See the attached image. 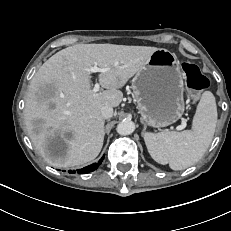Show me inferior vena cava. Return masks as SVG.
<instances>
[{"instance_id":"obj_1","label":"inferior vena cava","mask_w":231,"mask_h":231,"mask_svg":"<svg viewBox=\"0 0 231 231\" xmlns=\"http://www.w3.org/2000/svg\"><path fill=\"white\" fill-rule=\"evenodd\" d=\"M101 115L104 119L111 118L113 116V108L110 106H104L101 108Z\"/></svg>"}]
</instances>
